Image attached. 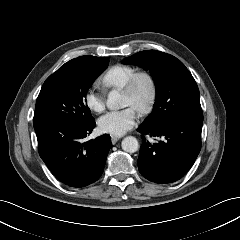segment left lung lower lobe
Masks as SVG:
<instances>
[{
    "mask_svg": "<svg viewBox=\"0 0 240 240\" xmlns=\"http://www.w3.org/2000/svg\"><path fill=\"white\" fill-rule=\"evenodd\" d=\"M203 121L174 119L161 125H141L137 131L163 139L150 143L143 137L138 168L151 182L173 183L182 178L194 164L201 149Z\"/></svg>",
    "mask_w": 240,
    "mask_h": 240,
    "instance_id": "obj_1",
    "label": "left lung lower lobe"
}]
</instances>
